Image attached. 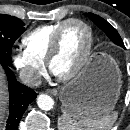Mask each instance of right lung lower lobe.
I'll use <instances>...</instances> for the list:
<instances>
[{
  "mask_svg": "<svg viewBox=\"0 0 130 130\" xmlns=\"http://www.w3.org/2000/svg\"><path fill=\"white\" fill-rule=\"evenodd\" d=\"M5 70L9 88V118L5 130H18V125L28 105L36 98V93L19 83L11 67L0 63Z\"/></svg>",
  "mask_w": 130,
  "mask_h": 130,
  "instance_id": "98d812e1",
  "label": "right lung lower lobe"
}]
</instances>
